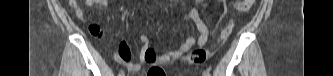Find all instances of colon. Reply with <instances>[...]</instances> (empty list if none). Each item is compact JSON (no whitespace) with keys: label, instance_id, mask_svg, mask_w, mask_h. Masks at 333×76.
I'll return each instance as SVG.
<instances>
[{"label":"colon","instance_id":"obj_1","mask_svg":"<svg viewBox=\"0 0 333 76\" xmlns=\"http://www.w3.org/2000/svg\"><path fill=\"white\" fill-rule=\"evenodd\" d=\"M254 3V0H241L236 2V7L238 11H247L249 10ZM231 29L230 27H226L222 30L219 41L224 42L230 35ZM209 53L205 49H198L192 53L190 56V61L194 64H202L208 59Z\"/></svg>","mask_w":333,"mask_h":76}]
</instances>
